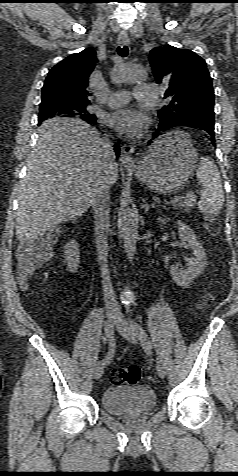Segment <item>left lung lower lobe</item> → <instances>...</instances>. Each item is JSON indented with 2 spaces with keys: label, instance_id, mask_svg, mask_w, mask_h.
Returning a JSON list of instances; mask_svg holds the SVG:
<instances>
[{
  "label": "left lung lower lobe",
  "instance_id": "0a47b994",
  "mask_svg": "<svg viewBox=\"0 0 238 476\" xmlns=\"http://www.w3.org/2000/svg\"><path fill=\"white\" fill-rule=\"evenodd\" d=\"M176 126H187V127H193V128H199L207 131L210 136L208 137L212 144L215 146V133H214V120H211L206 117H195V118H188L185 120L181 121H176V122H166V123H159L158 129L156 130L154 137L151 139L153 140L158 136V132L167 130L172 127ZM152 142L149 141L148 145H150Z\"/></svg>",
  "mask_w": 238,
  "mask_h": 476
}]
</instances>
